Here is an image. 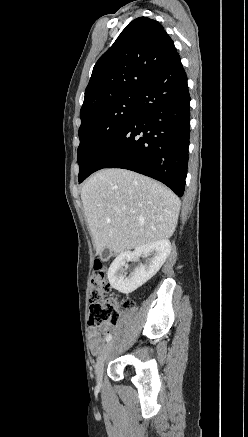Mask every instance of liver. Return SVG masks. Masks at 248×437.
<instances>
[{
    "label": "liver",
    "mask_w": 248,
    "mask_h": 437,
    "mask_svg": "<svg viewBox=\"0 0 248 437\" xmlns=\"http://www.w3.org/2000/svg\"><path fill=\"white\" fill-rule=\"evenodd\" d=\"M81 200L96 252L114 253L169 239L179 198L159 182L123 169H103L82 186Z\"/></svg>",
    "instance_id": "liver-1"
}]
</instances>
